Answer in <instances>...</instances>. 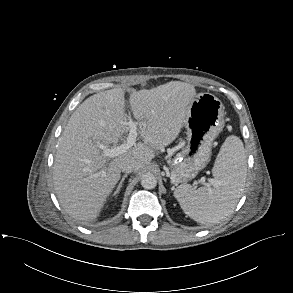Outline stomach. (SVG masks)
I'll use <instances>...</instances> for the list:
<instances>
[{
  "label": "stomach",
  "mask_w": 293,
  "mask_h": 293,
  "mask_svg": "<svg viewBox=\"0 0 293 293\" xmlns=\"http://www.w3.org/2000/svg\"><path fill=\"white\" fill-rule=\"evenodd\" d=\"M224 109L213 94L199 93L193 97L184 122L187 144L172 162V183H187L209 162L212 143L224 127Z\"/></svg>",
  "instance_id": "0dacf381"
}]
</instances>
